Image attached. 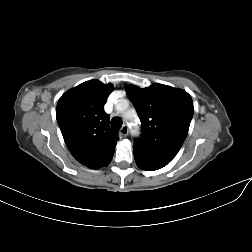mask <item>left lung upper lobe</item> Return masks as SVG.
<instances>
[{
  "label": "left lung upper lobe",
  "mask_w": 252,
  "mask_h": 252,
  "mask_svg": "<svg viewBox=\"0 0 252 252\" xmlns=\"http://www.w3.org/2000/svg\"><path fill=\"white\" fill-rule=\"evenodd\" d=\"M126 92L142 127L141 137L135 139L134 148L171 161L188 134L194 113L191 96L163 84L143 89L129 85Z\"/></svg>",
  "instance_id": "left-lung-upper-lobe-1"
}]
</instances>
